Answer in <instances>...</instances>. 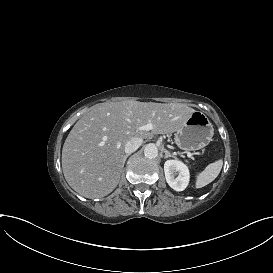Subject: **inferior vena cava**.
<instances>
[{"label": "inferior vena cava", "mask_w": 273, "mask_h": 273, "mask_svg": "<svg viewBox=\"0 0 273 273\" xmlns=\"http://www.w3.org/2000/svg\"><path fill=\"white\" fill-rule=\"evenodd\" d=\"M142 142V138L132 137L125 145V153L131 154L135 152L141 146Z\"/></svg>", "instance_id": "obj_1"}]
</instances>
